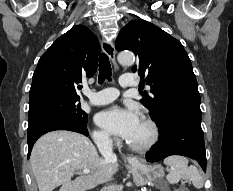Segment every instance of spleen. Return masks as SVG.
<instances>
[{
	"label": "spleen",
	"instance_id": "3e777b00",
	"mask_svg": "<svg viewBox=\"0 0 233 191\" xmlns=\"http://www.w3.org/2000/svg\"><path fill=\"white\" fill-rule=\"evenodd\" d=\"M168 172L166 179L170 184H177L181 179L189 180L200 189L203 178L195 166H188V160L182 156H170L164 160Z\"/></svg>",
	"mask_w": 233,
	"mask_h": 191
}]
</instances>
